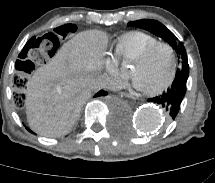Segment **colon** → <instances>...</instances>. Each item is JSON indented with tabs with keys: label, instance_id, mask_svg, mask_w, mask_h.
<instances>
[{
	"label": "colon",
	"instance_id": "5ec220e1",
	"mask_svg": "<svg viewBox=\"0 0 215 183\" xmlns=\"http://www.w3.org/2000/svg\"><path fill=\"white\" fill-rule=\"evenodd\" d=\"M74 33L75 26L64 23L55 27L53 33H42L29 40L18 63V73L13 78L16 101L23 102L24 95L21 90L25 88L28 76L35 66L51 59L57 52L60 42L72 37Z\"/></svg>",
	"mask_w": 215,
	"mask_h": 183
}]
</instances>
